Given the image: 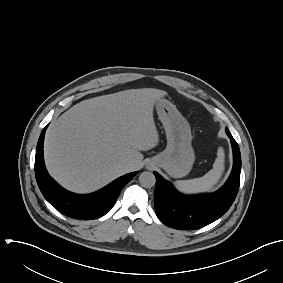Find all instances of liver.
<instances>
[{"label":"liver","mask_w":283,"mask_h":283,"mask_svg":"<svg viewBox=\"0 0 283 283\" xmlns=\"http://www.w3.org/2000/svg\"><path fill=\"white\" fill-rule=\"evenodd\" d=\"M167 95L154 88L129 89L83 100L53 121L45 136L50 175L66 189L90 193L141 166V151L159 142L153 109Z\"/></svg>","instance_id":"obj_1"}]
</instances>
